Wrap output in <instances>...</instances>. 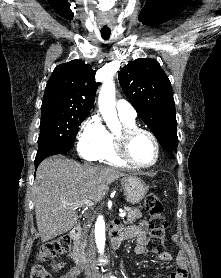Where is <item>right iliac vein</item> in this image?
Masks as SVG:
<instances>
[{
    "label": "right iliac vein",
    "instance_id": "1",
    "mask_svg": "<svg viewBox=\"0 0 221 278\" xmlns=\"http://www.w3.org/2000/svg\"><path fill=\"white\" fill-rule=\"evenodd\" d=\"M87 278H95L94 275H88Z\"/></svg>",
    "mask_w": 221,
    "mask_h": 278
}]
</instances>
